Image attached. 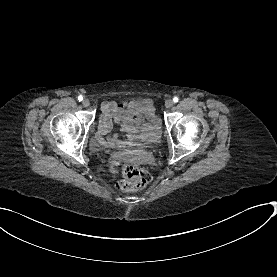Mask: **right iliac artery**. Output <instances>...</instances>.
Segmentation results:
<instances>
[{
  "label": "right iliac artery",
  "instance_id": "82829eb1",
  "mask_svg": "<svg viewBox=\"0 0 277 277\" xmlns=\"http://www.w3.org/2000/svg\"><path fill=\"white\" fill-rule=\"evenodd\" d=\"M78 100H79V101H82V100H83V96L80 95V96L78 97Z\"/></svg>",
  "mask_w": 277,
  "mask_h": 277
}]
</instances>
